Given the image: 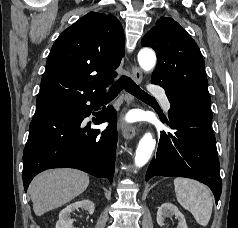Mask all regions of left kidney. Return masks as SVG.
<instances>
[{
    "mask_svg": "<svg viewBox=\"0 0 238 228\" xmlns=\"http://www.w3.org/2000/svg\"><path fill=\"white\" fill-rule=\"evenodd\" d=\"M175 215L178 220L177 228H188L184 215L178 210V208L172 203H163L157 211V223L159 226H164L166 217Z\"/></svg>",
    "mask_w": 238,
    "mask_h": 228,
    "instance_id": "5707ae66",
    "label": "left kidney"
}]
</instances>
